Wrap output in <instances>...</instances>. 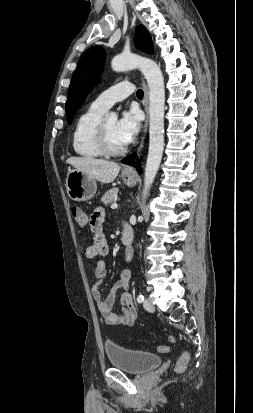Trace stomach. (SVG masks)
<instances>
[{
    "label": "stomach",
    "mask_w": 253,
    "mask_h": 413,
    "mask_svg": "<svg viewBox=\"0 0 253 413\" xmlns=\"http://www.w3.org/2000/svg\"><path fill=\"white\" fill-rule=\"evenodd\" d=\"M121 177L128 186L136 184V179L133 175L122 173ZM65 185L68 196L74 201H87L95 195L97 190L96 180L87 173L77 169L68 170Z\"/></svg>",
    "instance_id": "0dacf381"
}]
</instances>
